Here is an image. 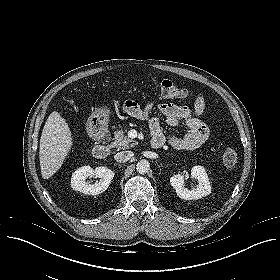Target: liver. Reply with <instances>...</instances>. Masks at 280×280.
<instances>
[{"label": "liver", "instance_id": "6515ba94", "mask_svg": "<svg viewBox=\"0 0 280 280\" xmlns=\"http://www.w3.org/2000/svg\"><path fill=\"white\" fill-rule=\"evenodd\" d=\"M71 131L65 119L53 111L42 131L39 159L41 174L49 179L62 166L72 146Z\"/></svg>", "mask_w": 280, "mask_h": 280}]
</instances>
